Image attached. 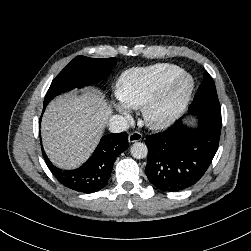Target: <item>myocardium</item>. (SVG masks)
<instances>
[{
  "instance_id": "f54148a6",
  "label": "myocardium",
  "mask_w": 251,
  "mask_h": 251,
  "mask_svg": "<svg viewBox=\"0 0 251 251\" xmlns=\"http://www.w3.org/2000/svg\"><path fill=\"white\" fill-rule=\"evenodd\" d=\"M193 77L183 72L164 85L143 106L145 124L152 129H165L184 112L194 90Z\"/></svg>"
}]
</instances>
